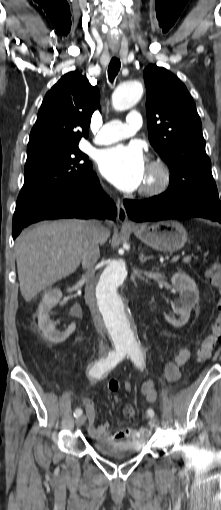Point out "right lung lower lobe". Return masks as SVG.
Here are the masks:
<instances>
[{
  "mask_svg": "<svg viewBox=\"0 0 221 510\" xmlns=\"http://www.w3.org/2000/svg\"><path fill=\"white\" fill-rule=\"evenodd\" d=\"M116 216V206L103 192L94 172L76 187L61 193L41 204L23 220L13 216V238L24 227L48 219L58 218H109Z\"/></svg>",
  "mask_w": 221,
  "mask_h": 510,
  "instance_id": "obj_1",
  "label": "right lung lower lobe"
}]
</instances>
